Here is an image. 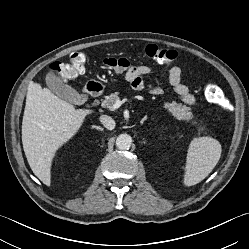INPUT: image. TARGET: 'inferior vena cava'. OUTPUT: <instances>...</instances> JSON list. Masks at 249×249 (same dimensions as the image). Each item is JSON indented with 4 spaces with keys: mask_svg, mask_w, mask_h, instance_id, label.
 Segmentation results:
<instances>
[{
    "mask_svg": "<svg viewBox=\"0 0 249 249\" xmlns=\"http://www.w3.org/2000/svg\"><path fill=\"white\" fill-rule=\"evenodd\" d=\"M100 122L108 130H113L115 128V121L110 116L101 115L100 116Z\"/></svg>",
    "mask_w": 249,
    "mask_h": 249,
    "instance_id": "1",
    "label": "inferior vena cava"
}]
</instances>
